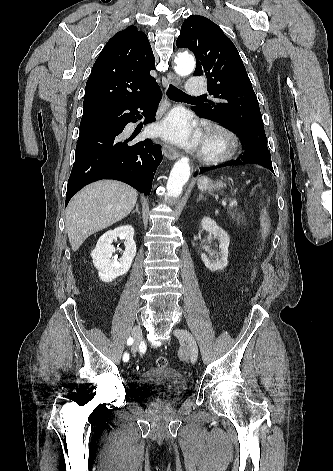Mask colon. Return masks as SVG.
<instances>
[{
    "label": "colon",
    "mask_w": 333,
    "mask_h": 471,
    "mask_svg": "<svg viewBox=\"0 0 333 471\" xmlns=\"http://www.w3.org/2000/svg\"><path fill=\"white\" fill-rule=\"evenodd\" d=\"M260 226H261L260 245H259V248H258V251H257L256 259L259 257V255H260V253L263 249L264 243H265V241H266V239L269 235V232H270V220H269L268 213L265 209H262L261 212H260ZM256 275H257V271H256V269H254V271L252 273V276H251V283L252 284L256 280ZM156 364H157L158 367L164 368V367H167L168 360L164 356H159L156 359Z\"/></svg>",
    "instance_id": "1"
}]
</instances>
